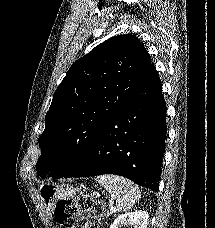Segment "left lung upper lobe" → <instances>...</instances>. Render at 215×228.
Here are the masks:
<instances>
[{
  "label": "left lung upper lobe",
  "mask_w": 215,
  "mask_h": 228,
  "mask_svg": "<svg viewBox=\"0 0 215 228\" xmlns=\"http://www.w3.org/2000/svg\"><path fill=\"white\" fill-rule=\"evenodd\" d=\"M152 66L134 35L114 36L78 59L55 91L38 143L42 178L68 172L135 91Z\"/></svg>",
  "instance_id": "5c2ea615"
}]
</instances>
